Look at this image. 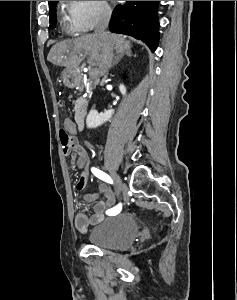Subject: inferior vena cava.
<instances>
[{"label": "inferior vena cava", "mask_w": 237, "mask_h": 300, "mask_svg": "<svg viewBox=\"0 0 237 300\" xmlns=\"http://www.w3.org/2000/svg\"><path fill=\"white\" fill-rule=\"evenodd\" d=\"M111 13L112 11L110 7H108V5H102L99 21L95 29L96 37H104L106 29L109 25V21L111 19Z\"/></svg>", "instance_id": "1"}]
</instances>
